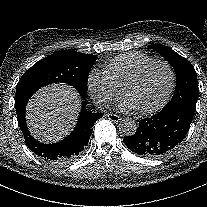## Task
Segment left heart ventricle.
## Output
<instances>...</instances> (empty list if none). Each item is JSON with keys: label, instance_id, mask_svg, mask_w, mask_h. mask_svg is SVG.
Instances as JSON below:
<instances>
[{"label": "left heart ventricle", "instance_id": "obj_1", "mask_svg": "<svg viewBox=\"0 0 207 207\" xmlns=\"http://www.w3.org/2000/svg\"><path fill=\"white\" fill-rule=\"evenodd\" d=\"M170 84V73L162 65L152 66L127 93L126 100L136 112L157 108L163 101Z\"/></svg>", "mask_w": 207, "mask_h": 207}]
</instances>
